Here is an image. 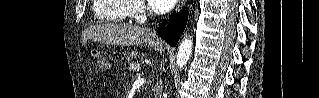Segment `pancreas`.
I'll return each instance as SVG.
<instances>
[{
  "label": "pancreas",
  "mask_w": 319,
  "mask_h": 98,
  "mask_svg": "<svg viewBox=\"0 0 319 98\" xmlns=\"http://www.w3.org/2000/svg\"><path fill=\"white\" fill-rule=\"evenodd\" d=\"M139 55L137 52H125L124 57L127 59V62H130L133 58H137Z\"/></svg>",
  "instance_id": "pancreas-1"
}]
</instances>
